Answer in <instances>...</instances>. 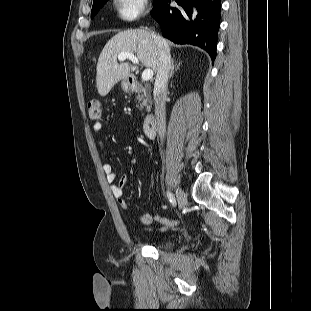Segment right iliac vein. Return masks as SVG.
Returning <instances> with one entry per match:
<instances>
[{
	"mask_svg": "<svg viewBox=\"0 0 311 311\" xmlns=\"http://www.w3.org/2000/svg\"><path fill=\"white\" fill-rule=\"evenodd\" d=\"M175 194H176V198H177L179 208H183L184 205L186 204L185 192L180 187H176Z\"/></svg>",
	"mask_w": 311,
	"mask_h": 311,
	"instance_id": "obj_1",
	"label": "right iliac vein"
}]
</instances>
